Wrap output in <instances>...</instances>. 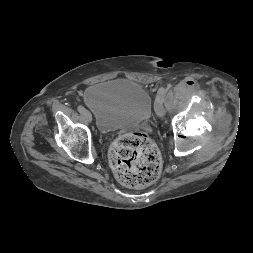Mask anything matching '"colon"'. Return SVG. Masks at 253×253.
I'll list each match as a JSON object with an SVG mask.
<instances>
[{
  "instance_id": "1",
  "label": "colon",
  "mask_w": 253,
  "mask_h": 253,
  "mask_svg": "<svg viewBox=\"0 0 253 253\" xmlns=\"http://www.w3.org/2000/svg\"><path fill=\"white\" fill-rule=\"evenodd\" d=\"M110 163L120 183L141 188L155 182L161 172L160 153L144 133L121 135L110 150Z\"/></svg>"
}]
</instances>
